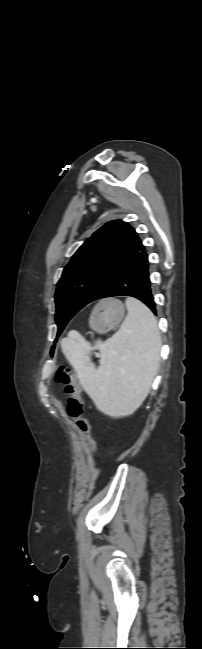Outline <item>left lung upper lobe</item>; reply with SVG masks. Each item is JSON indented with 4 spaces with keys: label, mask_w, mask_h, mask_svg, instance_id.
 <instances>
[{
    "label": "left lung upper lobe",
    "mask_w": 202,
    "mask_h": 649,
    "mask_svg": "<svg viewBox=\"0 0 202 649\" xmlns=\"http://www.w3.org/2000/svg\"><path fill=\"white\" fill-rule=\"evenodd\" d=\"M138 238L133 227L121 220L106 223L73 255L57 284L55 294L57 336L68 321L90 303L113 269Z\"/></svg>",
    "instance_id": "1"
}]
</instances>
